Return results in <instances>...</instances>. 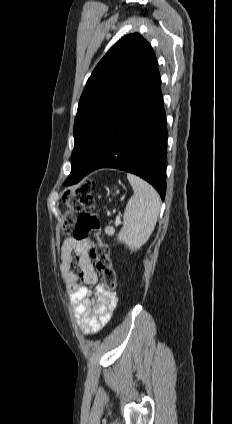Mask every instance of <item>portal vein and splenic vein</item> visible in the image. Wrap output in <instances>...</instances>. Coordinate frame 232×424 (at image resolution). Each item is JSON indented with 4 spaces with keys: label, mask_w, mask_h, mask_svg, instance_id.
I'll return each mask as SVG.
<instances>
[{
    "label": "portal vein and splenic vein",
    "mask_w": 232,
    "mask_h": 424,
    "mask_svg": "<svg viewBox=\"0 0 232 424\" xmlns=\"http://www.w3.org/2000/svg\"><path fill=\"white\" fill-rule=\"evenodd\" d=\"M120 224V219L117 218L116 225Z\"/></svg>",
    "instance_id": "portal-vein-and-splenic-vein-1"
}]
</instances>
